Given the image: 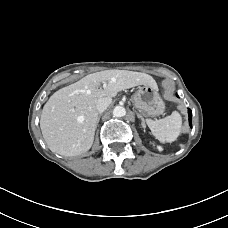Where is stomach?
Returning a JSON list of instances; mask_svg holds the SVG:
<instances>
[{
	"instance_id": "obj_1",
	"label": "stomach",
	"mask_w": 228,
	"mask_h": 228,
	"mask_svg": "<svg viewBox=\"0 0 228 228\" xmlns=\"http://www.w3.org/2000/svg\"><path fill=\"white\" fill-rule=\"evenodd\" d=\"M134 107L143 115L158 116L164 112L165 104L161 99L158 88L151 86L139 87L131 97Z\"/></svg>"
}]
</instances>
